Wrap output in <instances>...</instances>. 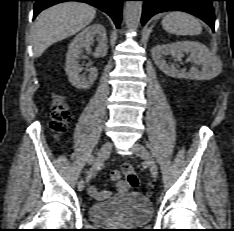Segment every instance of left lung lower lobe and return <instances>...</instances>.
<instances>
[{
  "label": "left lung lower lobe",
  "mask_w": 234,
  "mask_h": 231,
  "mask_svg": "<svg viewBox=\"0 0 234 231\" xmlns=\"http://www.w3.org/2000/svg\"><path fill=\"white\" fill-rule=\"evenodd\" d=\"M144 2L142 13V25L153 15L180 10L191 13L206 22L214 31L215 14L212 1L215 0H141Z\"/></svg>",
  "instance_id": "left-lung-lower-lobe-1"
}]
</instances>
